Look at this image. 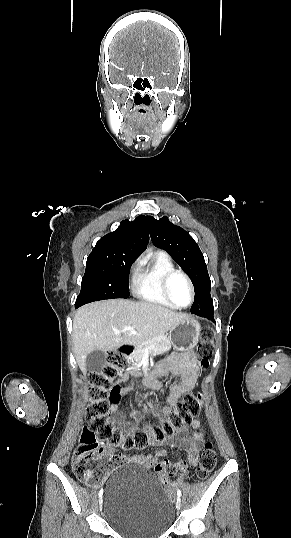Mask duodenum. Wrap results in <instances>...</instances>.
Masks as SVG:
<instances>
[{
    "mask_svg": "<svg viewBox=\"0 0 291 538\" xmlns=\"http://www.w3.org/2000/svg\"><path fill=\"white\" fill-rule=\"evenodd\" d=\"M122 354L125 356H131L134 353V348L131 346L123 347L121 350Z\"/></svg>",
    "mask_w": 291,
    "mask_h": 538,
    "instance_id": "duodenum-1",
    "label": "duodenum"
}]
</instances>
